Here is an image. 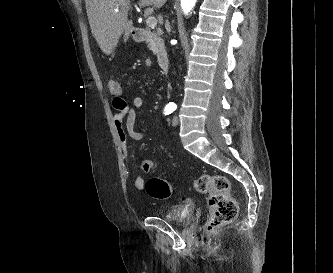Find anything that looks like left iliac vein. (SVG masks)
Masks as SVG:
<instances>
[{
	"label": "left iliac vein",
	"mask_w": 333,
	"mask_h": 273,
	"mask_svg": "<svg viewBox=\"0 0 333 273\" xmlns=\"http://www.w3.org/2000/svg\"><path fill=\"white\" fill-rule=\"evenodd\" d=\"M172 125L177 126L178 125V118L176 116L173 117L172 119Z\"/></svg>",
	"instance_id": "1"
}]
</instances>
